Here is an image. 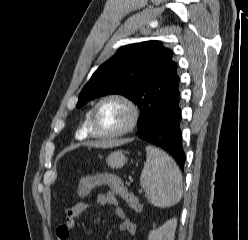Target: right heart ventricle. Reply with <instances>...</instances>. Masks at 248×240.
<instances>
[{"instance_id": "right-heart-ventricle-1", "label": "right heart ventricle", "mask_w": 248, "mask_h": 240, "mask_svg": "<svg viewBox=\"0 0 248 240\" xmlns=\"http://www.w3.org/2000/svg\"><path fill=\"white\" fill-rule=\"evenodd\" d=\"M90 114H91V110L86 112L80 127L76 131L77 139H86L90 136V129H89Z\"/></svg>"}]
</instances>
